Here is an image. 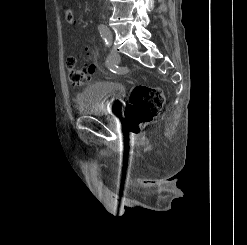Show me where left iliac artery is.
<instances>
[{"instance_id":"1","label":"left iliac artery","mask_w":247,"mask_h":245,"mask_svg":"<svg viewBox=\"0 0 247 245\" xmlns=\"http://www.w3.org/2000/svg\"><path fill=\"white\" fill-rule=\"evenodd\" d=\"M101 37L104 39L105 44L109 47L113 41V35L110 33L108 27L104 24L98 26Z\"/></svg>"}]
</instances>
